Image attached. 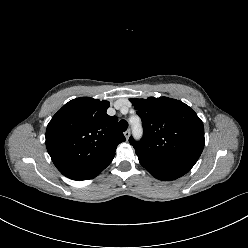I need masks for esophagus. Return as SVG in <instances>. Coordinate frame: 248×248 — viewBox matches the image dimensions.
Segmentation results:
<instances>
[{"label": "esophagus", "instance_id": "34e87169", "mask_svg": "<svg viewBox=\"0 0 248 248\" xmlns=\"http://www.w3.org/2000/svg\"><path fill=\"white\" fill-rule=\"evenodd\" d=\"M124 136H125L126 140H128L129 136H130V130L125 131Z\"/></svg>", "mask_w": 248, "mask_h": 248}]
</instances>
